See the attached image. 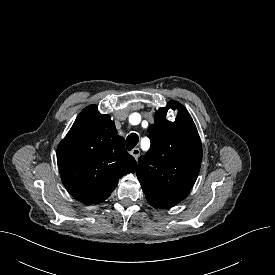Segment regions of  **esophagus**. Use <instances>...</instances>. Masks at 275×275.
Returning a JSON list of instances; mask_svg holds the SVG:
<instances>
[{"label": "esophagus", "mask_w": 275, "mask_h": 275, "mask_svg": "<svg viewBox=\"0 0 275 275\" xmlns=\"http://www.w3.org/2000/svg\"><path fill=\"white\" fill-rule=\"evenodd\" d=\"M131 155L136 159L138 160L139 156H140V149L139 148H134L132 151H131Z\"/></svg>", "instance_id": "34e87169"}]
</instances>
